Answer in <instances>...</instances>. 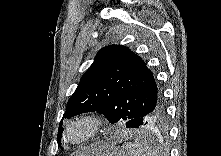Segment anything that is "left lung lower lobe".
Listing matches in <instances>:
<instances>
[{
    "label": "left lung lower lobe",
    "mask_w": 221,
    "mask_h": 156,
    "mask_svg": "<svg viewBox=\"0 0 221 156\" xmlns=\"http://www.w3.org/2000/svg\"><path fill=\"white\" fill-rule=\"evenodd\" d=\"M161 100L148 112L141 114L140 116L134 117L133 119L125 122L127 128H138L141 130H160L165 131L168 128L166 103L161 96Z\"/></svg>",
    "instance_id": "0a47b994"
}]
</instances>
